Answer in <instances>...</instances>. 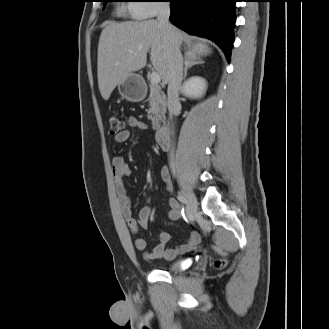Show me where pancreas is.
<instances>
[{
  "label": "pancreas",
  "mask_w": 329,
  "mask_h": 329,
  "mask_svg": "<svg viewBox=\"0 0 329 329\" xmlns=\"http://www.w3.org/2000/svg\"><path fill=\"white\" fill-rule=\"evenodd\" d=\"M149 87L150 95L148 101L150 108L148 111V119L152 121L153 127L157 129L160 127V121L166 112L165 95L160 87L152 83H150Z\"/></svg>",
  "instance_id": "obj_1"
}]
</instances>
